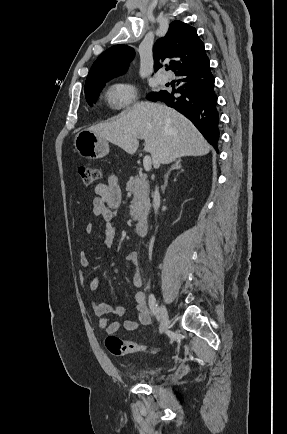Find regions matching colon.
Returning a JSON list of instances; mask_svg holds the SVG:
<instances>
[{
  "label": "colon",
  "mask_w": 287,
  "mask_h": 434,
  "mask_svg": "<svg viewBox=\"0 0 287 434\" xmlns=\"http://www.w3.org/2000/svg\"><path fill=\"white\" fill-rule=\"evenodd\" d=\"M77 172L81 181L86 185L96 183L100 177V171L95 167L79 166ZM105 345L114 356H124L145 349V346L140 343L124 341L115 335H109L105 339Z\"/></svg>",
  "instance_id": "colon-1"
}]
</instances>
